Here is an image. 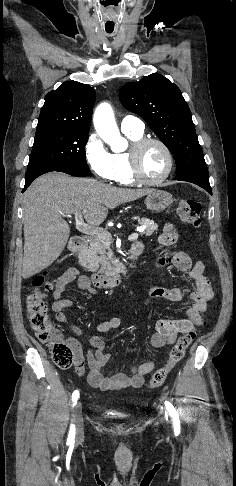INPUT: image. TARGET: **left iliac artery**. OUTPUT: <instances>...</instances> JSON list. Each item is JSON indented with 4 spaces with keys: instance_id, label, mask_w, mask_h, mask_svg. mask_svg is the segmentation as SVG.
Here are the masks:
<instances>
[{
    "instance_id": "44dca946",
    "label": "left iliac artery",
    "mask_w": 236,
    "mask_h": 486,
    "mask_svg": "<svg viewBox=\"0 0 236 486\" xmlns=\"http://www.w3.org/2000/svg\"><path fill=\"white\" fill-rule=\"evenodd\" d=\"M165 406H166L167 410L169 411L171 417L173 418L174 431L179 433L180 432V421H179V417H178V414H177L175 408L173 407V405L169 401H165Z\"/></svg>"
}]
</instances>
